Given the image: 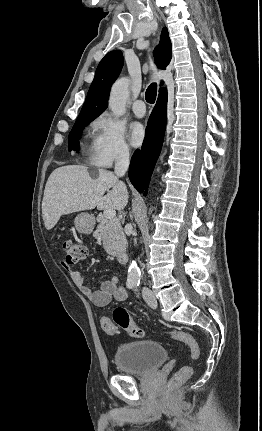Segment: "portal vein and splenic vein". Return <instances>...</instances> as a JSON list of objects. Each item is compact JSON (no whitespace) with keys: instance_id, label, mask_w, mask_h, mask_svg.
<instances>
[{"instance_id":"1","label":"portal vein and splenic vein","mask_w":262,"mask_h":431,"mask_svg":"<svg viewBox=\"0 0 262 431\" xmlns=\"http://www.w3.org/2000/svg\"><path fill=\"white\" fill-rule=\"evenodd\" d=\"M104 216L106 219L112 220L116 217V211L114 209H107L104 211Z\"/></svg>"}]
</instances>
